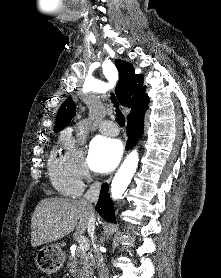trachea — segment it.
<instances>
[{
  "instance_id": "1",
  "label": "trachea",
  "mask_w": 221,
  "mask_h": 278,
  "mask_svg": "<svg viewBox=\"0 0 221 278\" xmlns=\"http://www.w3.org/2000/svg\"><path fill=\"white\" fill-rule=\"evenodd\" d=\"M112 103L114 104V107L116 108V122L119 124V126L124 127L125 125V117L122 114V112L119 109V104L117 102V99L115 98V95L112 93L110 97Z\"/></svg>"
}]
</instances>
